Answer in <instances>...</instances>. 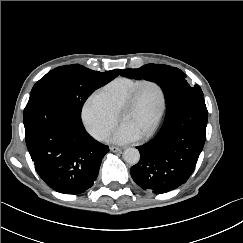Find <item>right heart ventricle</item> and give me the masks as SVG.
Segmentation results:
<instances>
[{
	"label": "right heart ventricle",
	"instance_id": "obj_1",
	"mask_svg": "<svg viewBox=\"0 0 243 243\" xmlns=\"http://www.w3.org/2000/svg\"><path fill=\"white\" fill-rule=\"evenodd\" d=\"M142 80L119 77L107 83L97 93L104 99L110 110L118 114L122 104Z\"/></svg>",
	"mask_w": 243,
	"mask_h": 243
}]
</instances>
